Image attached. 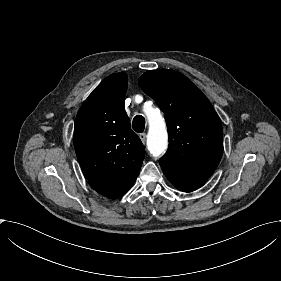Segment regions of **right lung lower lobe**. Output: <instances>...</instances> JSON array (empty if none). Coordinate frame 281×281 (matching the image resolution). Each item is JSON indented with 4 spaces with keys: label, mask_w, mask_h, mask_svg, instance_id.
<instances>
[{
    "label": "right lung lower lobe",
    "mask_w": 281,
    "mask_h": 281,
    "mask_svg": "<svg viewBox=\"0 0 281 281\" xmlns=\"http://www.w3.org/2000/svg\"><path fill=\"white\" fill-rule=\"evenodd\" d=\"M137 176H138V175H137ZM137 176H136V177L133 179V181H132L129 185H127V186L118 194V196L115 197V198H119V197H121L122 195H124V194L130 189V187L133 185V183L135 182ZM115 198H114V199H115Z\"/></svg>",
    "instance_id": "right-lung-lower-lobe-1"
}]
</instances>
